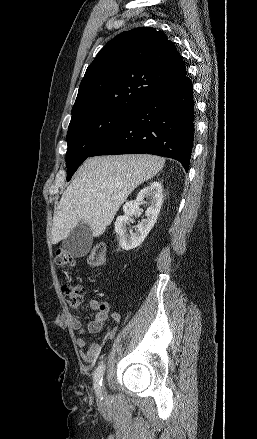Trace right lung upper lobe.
I'll list each match as a JSON object with an SVG mask.
<instances>
[{"label": "right lung upper lobe", "instance_id": "1", "mask_svg": "<svg viewBox=\"0 0 257 439\" xmlns=\"http://www.w3.org/2000/svg\"><path fill=\"white\" fill-rule=\"evenodd\" d=\"M185 75L181 55L162 31L141 27L122 32L88 66L72 117L95 110L134 112Z\"/></svg>", "mask_w": 257, "mask_h": 439}]
</instances>
